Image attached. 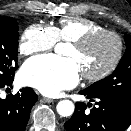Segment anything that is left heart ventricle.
<instances>
[{
  "label": "left heart ventricle",
  "instance_id": "obj_1",
  "mask_svg": "<svg viewBox=\"0 0 131 131\" xmlns=\"http://www.w3.org/2000/svg\"><path fill=\"white\" fill-rule=\"evenodd\" d=\"M115 50V41L111 37L101 36L82 48L69 45L66 56L76 62L82 73L96 74L109 65Z\"/></svg>",
  "mask_w": 131,
  "mask_h": 131
}]
</instances>
